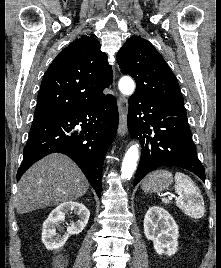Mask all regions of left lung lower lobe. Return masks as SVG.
Listing matches in <instances>:
<instances>
[{
	"instance_id": "1",
	"label": "left lung lower lobe",
	"mask_w": 221,
	"mask_h": 268,
	"mask_svg": "<svg viewBox=\"0 0 221 268\" xmlns=\"http://www.w3.org/2000/svg\"><path fill=\"white\" fill-rule=\"evenodd\" d=\"M128 112L129 132L139 137L142 147L134 186L152 170L166 165L190 170L205 182L184 105L132 95Z\"/></svg>"
}]
</instances>
